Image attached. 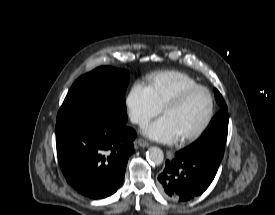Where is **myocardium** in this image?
Masks as SVG:
<instances>
[{"mask_svg": "<svg viewBox=\"0 0 275 215\" xmlns=\"http://www.w3.org/2000/svg\"><path fill=\"white\" fill-rule=\"evenodd\" d=\"M197 90H202L204 92H206V94L209 97V110L208 113L204 119V121L198 126L197 129H195L192 133L180 137L178 140L180 143L184 144V143H188L190 141L195 140L196 138H198L206 129L207 127L210 125L213 116H214V112H215V99L214 96L212 94V92L205 86L200 85V84H196V85H192V86H188L186 88H183L182 90H180L176 95H174L172 98H170L161 108V112L164 115V113L168 110L171 109L173 107L178 106L180 103H182V101L192 92L197 91Z\"/></svg>", "mask_w": 275, "mask_h": 215, "instance_id": "1", "label": "myocardium"}]
</instances>
